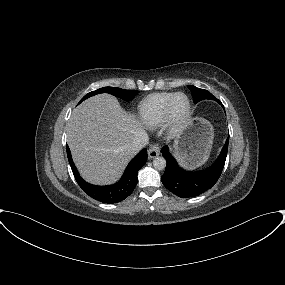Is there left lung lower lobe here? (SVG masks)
I'll return each mask as SVG.
<instances>
[{
    "label": "left lung lower lobe",
    "instance_id": "left-lung-lower-lobe-1",
    "mask_svg": "<svg viewBox=\"0 0 285 285\" xmlns=\"http://www.w3.org/2000/svg\"><path fill=\"white\" fill-rule=\"evenodd\" d=\"M218 103L222 105L221 102ZM228 143L229 137L214 164L198 172L185 171L179 167L175 158L170 154L168 146H164L161 152L167 165L161 178L163 185L181 198L195 197L204 193L217 182L221 175L227 156Z\"/></svg>",
    "mask_w": 285,
    "mask_h": 285
}]
</instances>
